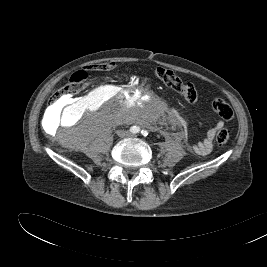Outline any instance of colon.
Returning a JSON list of instances; mask_svg holds the SVG:
<instances>
[{"mask_svg": "<svg viewBox=\"0 0 267 267\" xmlns=\"http://www.w3.org/2000/svg\"><path fill=\"white\" fill-rule=\"evenodd\" d=\"M98 70H111L113 63H104L94 67ZM155 77L168 88L176 91L183 99L189 103H195L198 99V93L193 84L180 79L172 70L158 67L154 69ZM88 75L85 71H78L73 74L68 83L58 89L50 98L49 104L54 107L62 104L65 100L71 98L75 92L83 87ZM213 111L222 119H232L234 113L231 105L224 99L217 98L212 102ZM229 140V131L227 129H220L216 134V142L219 145H224Z\"/></svg>", "mask_w": 267, "mask_h": 267, "instance_id": "5ec220e1", "label": "colon"}]
</instances>
